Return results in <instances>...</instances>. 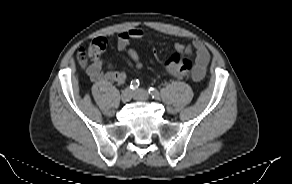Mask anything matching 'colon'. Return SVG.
<instances>
[{
  "mask_svg": "<svg viewBox=\"0 0 292 184\" xmlns=\"http://www.w3.org/2000/svg\"><path fill=\"white\" fill-rule=\"evenodd\" d=\"M108 46V40L105 37L93 39L87 48H80L77 53V59L82 66H86L90 60L99 58ZM153 55L157 58V52L153 49ZM167 67H174L179 77H188L193 71V63L186 58L183 53L174 51L165 61Z\"/></svg>",
  "mask_w": 292,
  "mask_h": 184,
  "instance_id": "colon-1",
  "label": "colon"
}]
</instances>
